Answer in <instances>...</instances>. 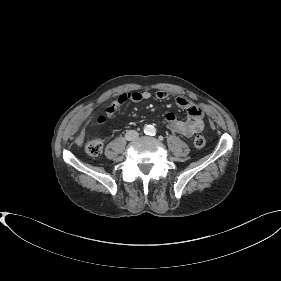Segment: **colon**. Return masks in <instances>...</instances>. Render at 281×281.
Here are the masks:
<instances>
[{"label": "colon", "instance_id": "colon-1", "mask_svg": "<svg viewBox=\"0 0 281 281\" xmlns=\"http://www.w3.org/2000/svg\"><path fill=\"white\" fill-rule=\"evenodd\" d=\"M103 121H104L103 117H100L98 119L99 123H102ZM205 144H206V139L204 136L198 135L195 137V139H194L195 147L202 148L205 146ZM85 150L88 155H90L92 157H97V156L101 155V153L103 151V142L99 139L90 140L86 143Z\"/></svg>", "mask_w": 281, "mask_h": 281}]
</instances>
